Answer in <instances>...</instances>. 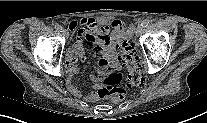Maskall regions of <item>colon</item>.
Here are the masks:
<instances>
[{"label": "colon", "instance_id": "obj_1", "mask_svg": "<svg viewBox=\"0 0 207 123\" xmlns=\"http://www.w3.org/2000/svg\"><path fill=\"white\" fill-rule=\"evenodd\" d=\"M120 65L122 73L112 70L100 80L98 96L101 99L118 102L126 97L127 90L144 83V74L140 69L133 46L128 41L120 44Z\"/></svg>", "mask_w": 207, "mask_h": 123}]
</instances>
